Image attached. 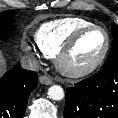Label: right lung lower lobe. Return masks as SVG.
Wrapping results in <instances>:
<instances>
[{
  "instance_id": "1",
  "label": "right lung lower lobe",
  "mask_w": 118,
  "mask_h": 118,
  "mask_svg": "<svg viewBox=\"0 0 118 118\" xmlns=\"http://www.w3.org/2000/svg\"><path fill=\"white\" fill-rule=\"evenodd\" d=\"M37 86V74L24 69L9 70L0 79V118H22L28 97Z\"/></svg>"
}]
</instances>
